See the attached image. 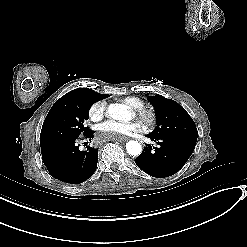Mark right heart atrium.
I'll return each instance as SVG.
<instances>
[{"label": "right heart atrium", "instance_id": "right-heart-atrium-1", "mask_svg": "<svg viewBox=\"0 0 247 247\" xmlns=\"http://www.w3.org/2000/svg\"><path fill=\"white\" fill-rule=\"evenodd\" d=\"M106 112V104L104 101H96L91 105L88 111L89 118L94 121H100Z\"/></svg>", "mask_w": 247, "mask_h": 247}]
</instances>
